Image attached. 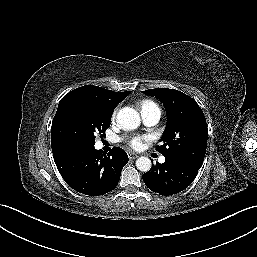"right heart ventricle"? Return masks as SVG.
<instances>
[{"label": "right heart ventricle", "mask_w": 257, "mask_h": 257, "mask_svg": "<svg viewBox=\"0 0 257 257\" xmlns=\"http://www.w3.org/2000/svg\"><path fill=\"white\" fill-rule=\"evenodd\" d=\"M138 107L140 109L141 114H143L144 112H147V111H151V110L160 111L158 104L151 99H143V100L139 101Z\"/></svg>", "instance_id": "right-heart-ventricle-1"}]
</instances>
